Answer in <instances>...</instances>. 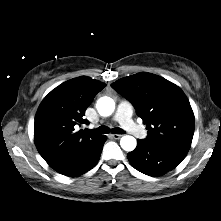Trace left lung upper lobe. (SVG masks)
Returning <instances> with one entry per match:
<instances>
[{"instance_id":"1","label":"left lung upper lobe","mask_w":221,"mask_h":221,"mask_svg":"<svg viewBox=\"0 0 221 221\" xmlns=\"http://www.w3.org/2000/svg\"><path fill=\"white\" fill-rule=\"evenodd\" d=\"M111 87L126 97L148 130L145 140L189 150L195 118L183 91L170 81L150 73L117 80Z\"/></svg>"}]
</instances>
